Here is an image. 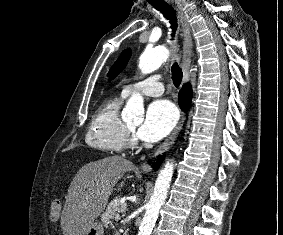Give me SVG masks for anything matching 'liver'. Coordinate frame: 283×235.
<instances>
[{
	"label": "liver",
	"instance_id": "obj_1",
	"mask_svg": "<svg viewBox=\"0 0 283 235\" xmlns=\"http://www.w3.org/2000/svg\"><path fill=\"white\" fill-rule=\"evenodd\" d=\"M133 168L134 164L121 156L106 157L82 166L66 196L61 216L63 235H85L105 209L116 183Z\"/></svg>",
	"mask_w": 283,
	"mask_h": 235
}]
</instances>
